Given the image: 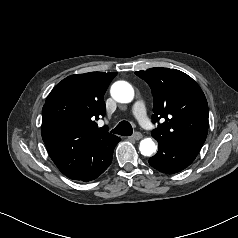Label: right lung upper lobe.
<instances>
[{
    "label": "right lung upper lobe",
    "mask_w": 238,
    "mask_h": 238,
    "mask_svg": "<svg viewBox=\"0 0 238 238\" xmlns=\"http://www.w3.org/2000/svg\"><path fill=\"white\" fill-rule=\"evenodd\" d=\"M117 72L71 75L58 83L42 109L41 133L49 155L68 178L94 172L120 138L96 128L105 115L103 96Z\"/></svg>",
    "instance_id": "obj_1"
}]
</instances>
